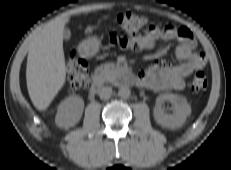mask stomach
<instances>
[{"mask_svg":"<svg viewBox=\"0 0 231 170\" xmlns=\"http://www.w3.org/2000/svg\"><path fill=\"white\" fill-rule=\"evenodd\" d=\"M99 46H100V40L97 37L93 36L86 39L81 44V49L85 55L93 56L98 52Z\"/></svg>","mask_w":231,"mask_h":170,"instance_id":"1","label":"stomach"}]
</instances>
